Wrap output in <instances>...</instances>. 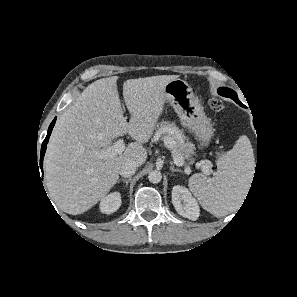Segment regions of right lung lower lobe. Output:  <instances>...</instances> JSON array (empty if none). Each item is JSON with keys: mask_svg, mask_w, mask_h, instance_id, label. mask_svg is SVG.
Listing matches in <instances>:
<instances>
[{"mask_svg": "<svg viewBox=\"0 0 297 297\" xmlns=\"http://www.w3.org/2000/svg\"><path fill=\"white\" fill-rule=\"evenodd\" d=\"M55 122H56V118L50 124V126L48 128L47 136H46V138L43 141L42 146H41V155H40V163L39 164H40V169L42 170V173H43V157H44V154H45V151H46V145L48 143V140H49V137H50V134L52 132V129L54 127Z\"/></svg>", "mask_w": 297, "mask_h": 297, "instance_id": "obj_1", "label": "right lung lower lobe"}]
</instances>
